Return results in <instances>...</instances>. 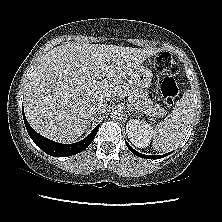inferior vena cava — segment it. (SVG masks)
Wrapping results in <instances>:
<instances>
[{"instance_id": "inferior-vena-cava-1", "label": "inferior vena cava", "mask_w": 222, "mask_h": 222, "mask_svg": "<svg viewBox=\"0 0 222 222\" xmlns=\"http://www.w3.org/2000/svg\"><path fill=\"white\" fill-rule=\"evenodd\" d=\"M107 110V103L105 101H99L97 104L93 106L91 109V113L93 116L102 114Z\"/></svg>"}]
</instances>
